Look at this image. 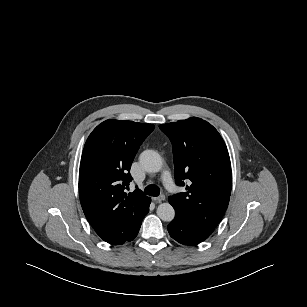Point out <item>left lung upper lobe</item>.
<instances>
[{
  "label": "left lung upper lobe",
  "instance_id": "obj_1",
  "mask_svg": "<svg viewBox=\"0 0 307 307\" xmlns=\"http://www.w3.org/2000/svg\"><path fill=\"white\" fill-rule=\"evenodd\" d=\"M172 143L175 181L186 192L169 203L197 229L211 235L230 199L232 174L227 147L208 122L192 117L159 126Z\"/></svg>",
  "mask_w": 307,
  "mask_h": 307
}]
</instances>
